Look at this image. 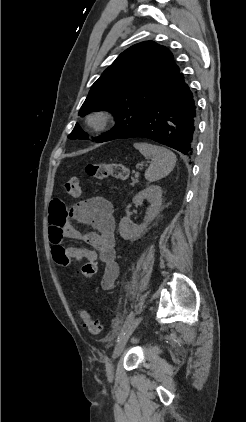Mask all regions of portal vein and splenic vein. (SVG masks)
<instances>
[{"instance_id": "portal-vein-and-splenic-vein-1", "label": "portal vein and splenic vein", "mask_w": 246, "mask_h": 422, "mask_svg": "<svg viewBox=\"0 0 246 422\" xmlns=\"http://www.w3.org/2000/svg\"><path fill=\"white\" fill-rule=\"evenodd\" d=\"M138 176H139V173H138V172H136V173H135V177H138Z\"/></svg>"}]
</instances>
